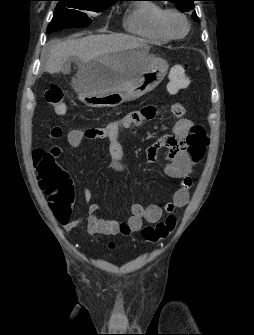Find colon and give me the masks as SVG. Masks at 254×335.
<instances>
[{
	"label": "colon",
	"mask_w": 254,
	"mask_h": 335,
	"mask_svg": "<svg viewBox=\"0 0 254 335\" xmlns=\"http://www.w3.org/2000/svg\"><path fill=\"white\" fill-rule=\"evenodd\" d=\"M187 66L175 65L170 69L167 89L176 93L189 86ZM45 98L52 110L57 114L66 112L63 91L58 86H51L45 93ZM188 153L193 162H200L209 144L207 132L200 125H193L186 139ZM61 154L58 146L49 150L37 149L33 152V162L38 174V184L43 192L50 198L49 206L57 219L65 218L64 208H70L73 201V189L68 173L56 162ZM176 226V218L167 216L155 225H148L142 229L143 238L151 243L167 238Z\"/></svg>",
	"instance_id": "1"
}]
</instances>
